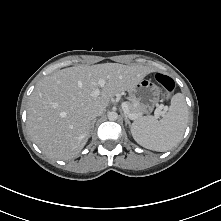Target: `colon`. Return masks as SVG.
Masks as SVG:
<instances>
[{
  "instance_id": "5ec220e1",
  "label": "colon",
  "mask_w": 221,
  "mask_h": 221,
  "mask_svg": "<svg viewBox=\"0 0 221 221\" xmlns=\"http://www.w3.org/2000/svg\"><path fill=\"white\" fill-rule=\"evenodd\" d=\"M155 78L163 89V98L167 100L174 90V81L169 76L160 73L156 74Z\"/></svg>"
}]
</instances>
